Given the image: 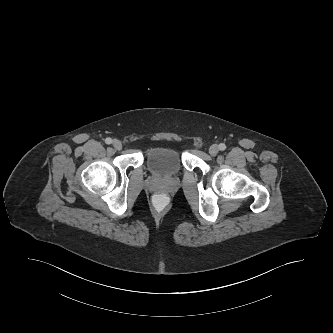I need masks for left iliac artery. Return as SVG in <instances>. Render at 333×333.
Listing matches in <instances>:
<instances>
[{
	"label": "left iliac artery",
	"instance_id": "left-iliac-artery-1",
	"mask_svg": "<svg viewBox=\"0 0 333 333\" xmlns=\"http://www.w3.org/2000/svg\"><path fill=\"white\" fill-rule=\"evenodd\" d=\"M219 149H220L221 151H224V150L226 149V145H225L224 143H221V144L219 145Z\"/></svg>",
	"mask_w": 333,
	"mask_h": 333
}]
</instances>
